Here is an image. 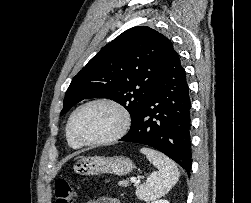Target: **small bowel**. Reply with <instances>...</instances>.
I'll return each mask as SVG.
<instances>
[{"label": "small bowel", "instance_id": "small-bowel-1", "mask_svg": "<svg viewBox=\"0 0 251 203\" xmlns=\"http://www.w3.org/2000/svg\"><path fill=\"white\" fill-rule=\"evenodd\" d=\"M87 203H120L117 199L115 198H100L96 200H89Z\"/></svg>", "mask_w": 251, "mask_h": 203}]
</instances>
